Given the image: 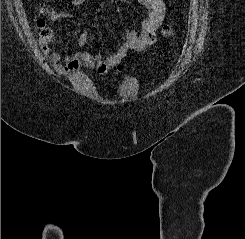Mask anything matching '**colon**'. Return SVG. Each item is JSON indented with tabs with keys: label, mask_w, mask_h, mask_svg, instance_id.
Returning <instances> with one entry per match:
<instances>
[{
	"label": "colon",
	"mask_w": 245,
	"mask_h": 239,
	"mask_svg": "<svg viewBox=\"0 0 245 239\" xmlns=\"http://www.w3.org/2000/svg\"><path fill=\"white\" fill-rule=\"evenodd\" d=\"M42 14L46 13V8L43 7L41 10ZM38 27V41L40 45L44 48L51 43L54 39L53 31L46 24L44 19H39L37 23ZM162 34L165 37H171L174 35V29L171 25H165L162 30Z\"/></svg>",
	"instance_id": "obj_1"
}]
</instances>
